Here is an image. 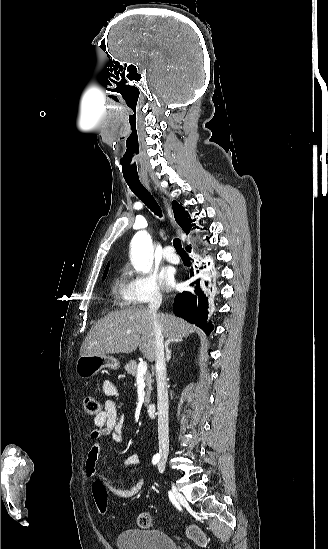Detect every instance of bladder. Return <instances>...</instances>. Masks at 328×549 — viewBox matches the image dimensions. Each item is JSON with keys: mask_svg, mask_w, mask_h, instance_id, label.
I'll return each instance as SVG.
<instances>
[{"mask_svg": "<svg viewBox=\"0 0 328 549\" xmlns=\"http://www.w3.org/2000/svg\"><path fill=\"white\" fill-rule=\"evenodd\" d=\"M118 549H176L174 541L163 531L135 530L117 536Z\"/></svg>", "mask_w": 328, "mask_h": 549, "instance_id": "1", "label": "bladder"}]
</instances>
